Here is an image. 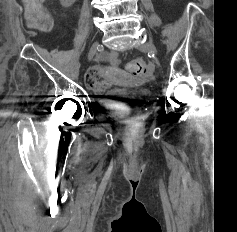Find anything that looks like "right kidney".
I'll return each instance as SVG.
<instances>
[{"mask_svg": "<svg viewBox=\"0 0 237 232\" xmlns=\"http://www.w3.org/2000/svg\"><path fill=\"white\" fill-rule=\"evenodd\" d=\"M61 5L64 7V8H68L70 6H72V4L76 1V0H59Z\"/></svg>", "mask_w": 237, "mask_h": 232, "instance_id": "obj_1", "label": "right kidney"}]
</instances>
